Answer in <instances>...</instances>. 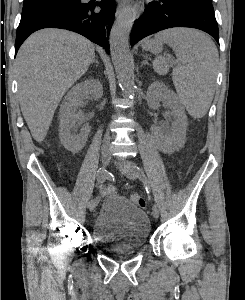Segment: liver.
<instances>
[{"instance_id": "obj_1", "label": "liver", "mask_w": 245, "mask_h": 300, "mask_svg": "<svg viewBox=\"0 0 245 300\" xmlns=\"http://www.w3.org/2000/svg\"><path fill=\"white\" fill-rule=\"evenodd\" d=\"M94 57L88 39L62 29L37 31L20 47L16 57L20 107L37 142L45 139L62 97Z\"/></svg>"}]
</instances>
